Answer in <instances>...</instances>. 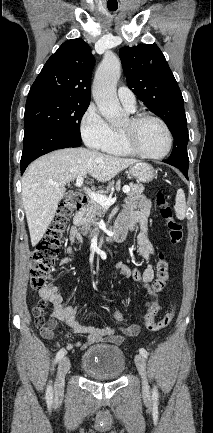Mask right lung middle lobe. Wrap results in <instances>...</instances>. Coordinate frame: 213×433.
Wrapping results in <instances>:
<instances>
[{
	"instance_id": "dd1d6c3e",
	"label": "right lung middle lobe",
	"mask_w": 213,
	"mask_h": 433,
	"mask_svg": "<svg viewBox=\"0 0 213 433\" xmlns=\"http://www.w3.org/2000/svg\"><path fill=\"white\" fill-rule=\"evenodd\" d=\"M89 103L46 96L27 98L25 128L36 124L44 125L81 141L80 122Z\"/></svg>"
}]
</instances>
